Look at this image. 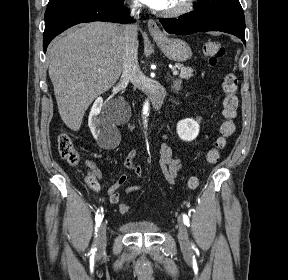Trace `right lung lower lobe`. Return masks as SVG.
Returning a JSON list of instances; mask_svg holds the SVG:
<instances>
[{
  "label": "right lung lower lobe",
  "instance_id": "1",
  "mask_svg": "<svg viewBox=\"0 0 288 280\" xmlns=\"http://www.w3.org/2000/svg\"><path fill=\"white\" fill-rule=\"evenodd\" d=\"M119 3L110 0H55L47 5L45 12V30L43 49L58 34L67 28L82 22L107 21L128 23L129 10Z\"/></svg>",
  "mask_w": 288,
  "mask_h": 280
}]
</instances>
